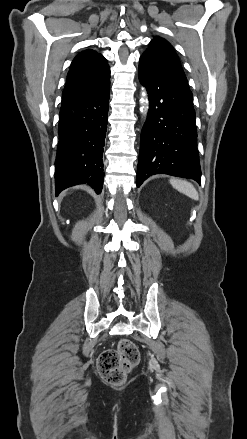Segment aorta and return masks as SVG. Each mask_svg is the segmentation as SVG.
I'll return each instance as SVG.
<instances>
[{"mask_svg":"<svg viewBox=\"0 0 247 439\" xmlns=\"http://www.w3.org/2000/svg\"><path fill=\"white\" fill-rule=\"evenodd\" d=\"M148 110H149L148 94L146 89L142 88L141 98H140V112L142 113V116L144 118H146Z\"/></svg>","mask_w":247,"mask_h":439,"instance_id":"obj_1","label":"aorta"}]
</instances>
